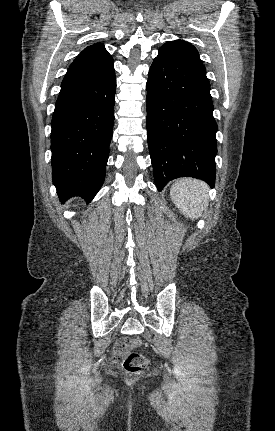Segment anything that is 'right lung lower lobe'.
Masks as SVG:
<instances>
[{
  "label": "right lung lower lobe",
  "mask_w": 275,
  "mask_h": 431,
  "mask_svg": "<svg viewBox=\"0 0 275 431\" xmlns=\"http://www.w3.org/2000/svg\"><path fill=\"white\" fill-rule=\"evenodd\" d=\"M114 69L93 80L61 87L51 122L53 183L60 200L90 202L105 179L113 133Z\"/></svg>",
  "instance_id": "obj_1"
}]
</instances>
